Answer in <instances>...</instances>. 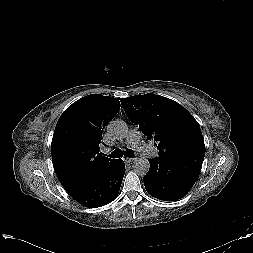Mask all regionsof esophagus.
Here are the masks:
<instances>
[{
    "label": "esophagus",
    "mask_w": 253,
    "mask_h": 253,
    "mask_svg": "<svg viewBox=\"0 0 253 253\" xmlns=\"http://www.w3.org/2000/svg\"><path fill=\"white\" fill-rule=\"evenodd\" d=\"M136 159L135 158H126L125 159V162L127 163H132L133 161H135Z\"/></svg>",
    "instance_id": "1"
}]
</instances>
